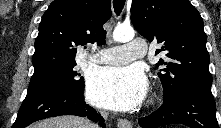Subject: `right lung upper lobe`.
Segmentation results:
<instances>
[{
    "label": "right lung upper lobe",
    "instance_id": "right-lung-upper-lobe-1",
    "mask_svg": "<svg viewBox=\"0 0 221 128\" xmlns=\"http://www.w3.org/2000/svg\"><path fill=\"white\" fill-rule=\"evenodd\" d=\"M110 0H55L39 24L32 57L34 74L76 64L78 46L105 42Z\"/></svg>",
    "mask_w": 221,
    "mask_h": 128
}]
</instances>
